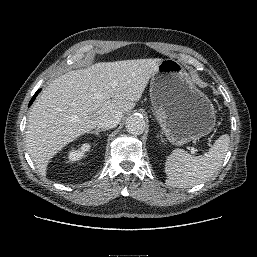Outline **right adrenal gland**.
Here are the masks:
<instances>
[{"label": "right adrenal gland", "instance_id": "1", "mask_svg": "<svg viewBox=\"0 0 257 257\" xmlns=\"http://www.w3.org/2000/svg\"><path fill=\"white\" fill-rule=\"evenodd\" d=\"M102 131H106V129H100V128H96L95 130H92L91 132H89L90 134H95L97 137L99 136V133Z\"/></svg>", "mask_w": 257, "mask_h": 257}]
</instances>
